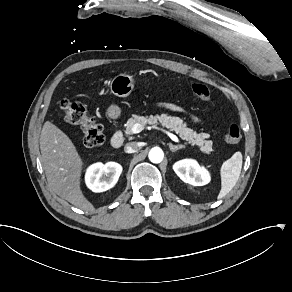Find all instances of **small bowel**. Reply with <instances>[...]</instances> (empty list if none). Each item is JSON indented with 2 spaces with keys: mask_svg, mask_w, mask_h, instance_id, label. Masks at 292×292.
I'll return each mask as SVG.
<instances>
[{
  "mask_svg": "<svg viewBox=\"0 0 292 292\" xmlns=\"http://www.w3.org/2000/svg\"><path fill=\"white\" fill-rule=\"evenodd\" d=\"M160 107L164 108V109H167L169 111H172V112H177V113H181V114H185L187 115L194 123H200L201 120L190 114L187 110H185L183 107L177 105V104H174V103H169V102H164V103H160L159 104Z\"/></svg>",
  "mask_w": 292,
  "mask_h": 292,
  "instance_id": "c3829d8e",
  "label": "small bowel"
}]
</instances>
